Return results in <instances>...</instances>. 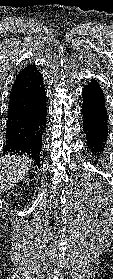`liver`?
Listing matches in <instances>:
<instances>
[{
    "label": "liver",
    "instance_id": "6515ba94",
    "mask_svg": "<svg viewBox=\"0 0 113 279\" xmlns=\"http://www.w3.org/2000/svg\"><path fill=\"white\" fill-rule=\"evenodd\" d=\"M32 160L28 156L9 155L2 160L0 192L10 190L28 173Z\"/></svg>",
    "mask_w": 113,
    "mask_h": 279
}]
</instances>
